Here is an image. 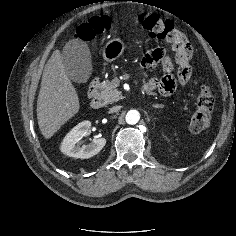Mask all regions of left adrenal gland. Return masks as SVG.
I'll use <instances>...</instances> for the list:
<instances>
[{"label": "left adrenal gland", "instance_id": "obj_1", "mask_svg": "<svg viewBox=\"0 0 236 236\" xmlns=\"http://www.w3.org/2000/svg\"><path fill=\"white\" fill-rule=\"evenodd\" d=\"M153 107H154V108H162L163 106L157 104V105H154Z\"/></svg>", "mask_w": 236, "mask_h": 236}]
</instances>
